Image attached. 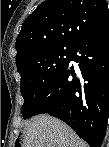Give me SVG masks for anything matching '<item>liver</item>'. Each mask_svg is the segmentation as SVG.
Segmentation results:
<instances>
[{
    "label": "liver",
    "instance_id": "1",
    "mask_svg": "<svg viewBox=\"0 0 109 147\" xmlns=\"http://www.w3.org/2000/svg\"><path fill=\"white\" fill-rule=\"evenodd\" d=\"M25 145L28 147H77L84 143L79 141L72 131L61 121L39 116L28 124Z\"/></svg>",
    "mask_w": 109,
    "mask_h": 147
}]
</instances>
